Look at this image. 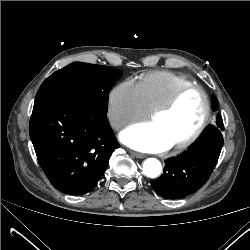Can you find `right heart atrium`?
I'll use <instances>...</instances> for the list:
<instances>
[{
  "label": "right heart atrium",
  "mask_w": 250,
  "mask_h": 250,
  "mask_svg": "<svg viewBox=\"0 0 250 250\" xmlns=\"http://www.w3.org/2000/svg\"><path fill=\"white\" fill-rule=\"evenodd\" d=\"M147 114L148 110L133 81L124 80L109 91L107 116L114 130L121 131L130 124L145 118Z\"/></svg>",
  "instance_id": "obj_1"
}]
</instances>
